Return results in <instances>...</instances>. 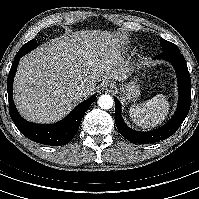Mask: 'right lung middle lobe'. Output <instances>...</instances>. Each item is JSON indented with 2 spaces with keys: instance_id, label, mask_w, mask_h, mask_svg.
Here are the masks:
<instances>
[{
  "instance_id": "1",
  "label": "right lung middle lobe",
  "mask_w": 199,
  "mask_h": 199,
  "mask_svg": "<svg viewBox=\"0 0 199 199\" xmlns=\"http://www.w3.org/2000/svg\"><path fill=\"white\" fill-rule=\"evenodd\" d=\"M37 42L35 40H31L29 42H27L25 45L22 46V48L19 51H27L30 52L31 50H33L34 48L37 47Z\"/></svg>"
}]
</instances>
